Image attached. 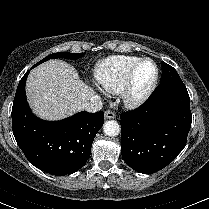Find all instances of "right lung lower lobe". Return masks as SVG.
Listing matches in <instances>:
<instances>
[{
	"label": "right lung lower lobe",
	"instance_id": "right-lung-lower-lobe-1",
	"mask_svg": "<svg viewBox=\"0 0 209 209\" xmlns=\"http://www.w3.org/2000/svg\"><path fill=\"white\" fill-rule=\"evenodd\" d=\"M29 72L20 80L12 106L16 142L35 167L59 176L76 172L90 157L93 140L104 123V112H80L61 121L37 118L26 100Z\"/></svg>",
	"mask_w": 209,
	"mask_h": 209
}]
</instances>
